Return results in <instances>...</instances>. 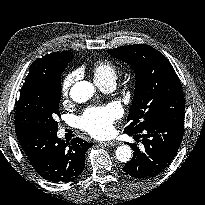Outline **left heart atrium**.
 I'll return each mask as SVG.
<instances>
[{
    "label": "left heart atrium",
    "instance_id": "left-heart-atrium-1",
    "mask_svg": "<svg viewBox=\"0 0 205 205\" xmlns=\"http://www.w3.org/2000/svg\"><path fill=\"white\" fill-rule=\"evenodd\" d=\"M122 114L115 104L87 109L79 118L82 129L95 137H103L113 131V123Z\"/></svg>",
    "mask_w": 205,
    "mask_h": 205
}]
</instances>
